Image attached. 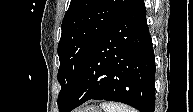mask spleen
Segmentation results:
<instances>
[{
  "mask_svg": "<svg viewBox=\"0 0 193 112\" xmlns=\"http://www.w3.org/2000/svg\"><path fill=\"white\" fill-rule=\"evenodd\" d=\"M101 108L104 112H137L134 108L113 102H104L101 104Z\"/></svg>",
  "mask_w": 193,
  "mask_h": 112,
  "instance_id": "1",
  "label": "spleen"
}]
</instances>
